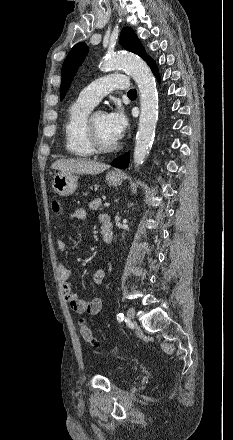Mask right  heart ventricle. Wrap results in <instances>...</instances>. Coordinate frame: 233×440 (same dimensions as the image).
Listing matches in <instances>:
<instances>
[{"label": "right heart ventricle", "instance_id": "e07e8e85", "mask_svg": "<svg viewBox=\"0 0 233 440\" xmlns=\"http://www.w3.org/2000/svg\"><path fill=\"white\" fill-rule=\"evenodd\" d=\"M93 106L79 99L68 108L64 123L65 148L68 154L88 158L95 154L85 134V121Z\"/></svg>", "mask_w": 233, "mask_h": 440}]
</instances>
